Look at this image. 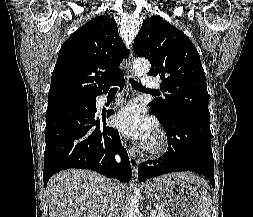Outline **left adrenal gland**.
<instances>
[{
    "mask_svg": "<svg viewBox=\"0 0 253 217\" xmlns=\"http://www.w3.org/2000/svg\"><path fill=\"white\" fill-rule=\"evenodd\" d=\"M147 208L150 210V209H151V206H148Z\"/></svg>",
    "mask_w": 253,
    "mask_h": 217,
    "instance_id": "a2214340",
    "label": "left adrenal gland"
}]
</instances>
